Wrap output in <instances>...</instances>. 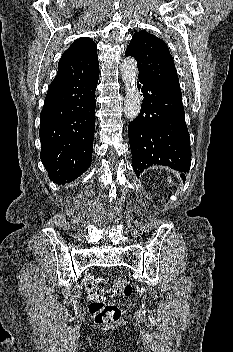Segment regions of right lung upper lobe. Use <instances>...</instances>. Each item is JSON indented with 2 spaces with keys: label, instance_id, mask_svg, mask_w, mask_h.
I'll use <instances>...</instances> for the list:
<instances>
[{
  "label": "right lung upper lobe",
  "instance_id": "cb5924a9",
  "mask_svg": "<svg viewBox=\"0 0 233 352\" xmlns=\"http://www.w3.org/2000/svg\"><path fill=\"white\" fill-rule=\"evenodd\" d=\"M99 69L97 47L90 38H79L63 53L58 72L49 87L64 85L86 77Z\"/></svg>",
  "mask_w": 233,
  "mask_h": 352
}]
</instances>
